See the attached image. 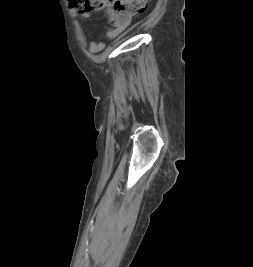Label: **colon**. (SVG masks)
Masks as SVG:
<instances>
[{"label":"colon","mask_w":253,"mask_h":267,"mask_svg":"<svg viewBox=\"0 0 253 267\" xmlns=\"http://www.w3.org/2000/svg\"><path fill=\"white\" fill-rule=\"evenodd\" d=\"M68 7L78 12H92L104 7H114L118 12L135 16L142 13L148 0H67Z\"/></svg>","instance_id":"1"}]
</instances>
